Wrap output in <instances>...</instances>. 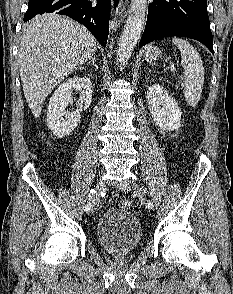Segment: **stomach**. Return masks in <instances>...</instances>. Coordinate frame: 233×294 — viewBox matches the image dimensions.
Returning a JSON list of instances; mask_svg holds the SVG:
<instances>
[{"instance_id": "obj_1", "label": "stomach", "mask_w": 233, "mask_h": 294, "mask_svg": "<svg viewBox=\"0 0 233 294\" xmlns=\"http://www.w3.org/2000/svg\"><path fill=\"white\" fill-rule=\"evenodd\" d=\"M161 56V51L154 45H148L143 50V57L146 61H156Z\"/></svg>"}]
</instances>
